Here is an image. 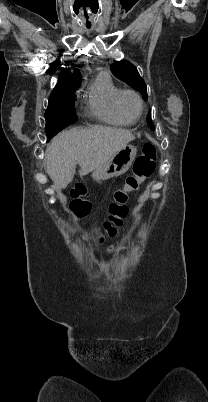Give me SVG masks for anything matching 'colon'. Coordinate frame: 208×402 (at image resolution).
<instances>
[{
    "label": "colon",
    "mask_w": 208,
    "mask_h": 402,
    "mask_svg": "<svg viewBox=\"0 0 208 402\" xmlns=\"http://www.w3.org/2000/svg\"><path fill=\"white\" fill-rule=\"evenodd\" d=\"M156 147L153 142H146L143 145L142 153L137 156L132 165V174L128 175L124 184L113 192V201L110 204V215L107 220L101 224H97L92 230L84 233V238L94 239L99 244H102V239L111 237L116 234L117 229L122 226L125 217L127 216V202L131 193L135 192L140 183L149 178L155 168ZM87 189L84 184H76L71 191V197L78 198L85 196ZM91 208L89 205H81L77 207V212L81 214H89ZM75 220H80V215H75ZM92 233V235H90Z\"/></svg>",
    "instance_id": "colon-1"
}]
</instances>
